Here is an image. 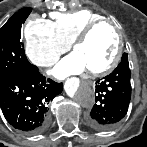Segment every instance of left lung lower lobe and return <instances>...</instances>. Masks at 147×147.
Returning a JSON list of instances; mask_svg holds the SVG:
<instances>
[{"label":"left lung lower lobe","instance_id":"left-lung-lower-lobe-1","mask_svg":"<svg viewBox=\"0 0 147 147\" xmlns=\"http://www.w3.org/2000/svg\"><path fill=\"white\" fill-rule=\"evenodd\" d=\"M131 71L127 59L101 81L96 82L95 104L87 124L97 130L115 127L127 114L131 98Z\"/></svg>","mask_w":147,"mask_h":147}]
</instances>
